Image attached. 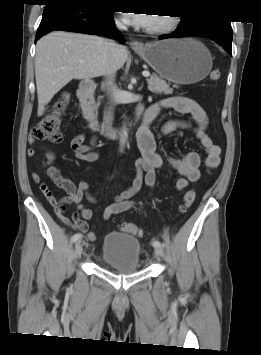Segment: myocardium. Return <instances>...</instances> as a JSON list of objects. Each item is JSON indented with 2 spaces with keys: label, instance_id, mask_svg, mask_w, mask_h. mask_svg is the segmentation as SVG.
Returning <instances> with one entry per match:
<instances>
[{
  "label": "myocardium",
  "instance_id": "f54148a6",
  "mask_svg": "<svg viewBox=\"0 0 261 355\" xmlns=\"http://www.w3.org/2000/svg\"><path fill=\"white\" fill-rule=\"evenodd\" d=\"M178 24H179V18H177L176 15H170L164 17L163 21L156 27L148 28L147 32L149 34H154V35L167 34L175 30Z\"/></svg>",
  "mask_w": 261,
  "mask_h": 355
}]
</instances>
